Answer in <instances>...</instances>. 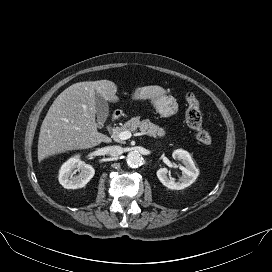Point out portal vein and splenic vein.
Listing matches in <instances>:
<instances>
[{
  "label": "portal vein and splenic vein",
  "mask_w": 272,
  "mask_h": 272,
  "mask_svg": "<svg viewBox=\"0 0 272 272\" xmlns=\"http://www.w3.org/2000/svg\"><path fill=\"white\" fill-rule=\"evenodd\" d=\"M117 136L120 140H127L132 137V133L130 131H122Z\"/></svg>",
  "instance_id": "obj_1"
}]
</instances>
